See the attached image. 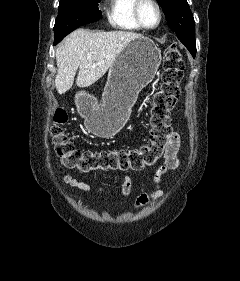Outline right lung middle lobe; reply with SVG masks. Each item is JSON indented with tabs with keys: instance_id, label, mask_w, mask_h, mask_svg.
I'll return each mask as SVG.
<instances>
[{
	"instance_id": "dd1d6c3e",
	"label": "right lung middle lobe",
	"mask_w": 240,
	"mask_h": 281,
	"mask_svg": "<svg viewBox=\"0 0 240 281\" xmlns=\"http://www.w3.org/2000/svg\"><path fill=\"white\" fill-rule=\"evenodd\" d=\"M101 0H60L58 16L54 25V45L81 25L99 20Z\"/></svg>"
}]
</instances>
